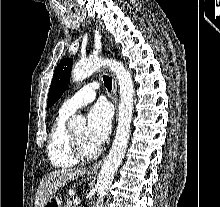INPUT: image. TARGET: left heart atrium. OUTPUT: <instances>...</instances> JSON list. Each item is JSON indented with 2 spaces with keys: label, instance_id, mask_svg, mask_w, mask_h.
I'll return each instance as SVG.
<instances>
[{
  "label": "left heart atrium",
  "instance_id": "39dd6f15",
  "mask_svg": "<svg viewBox=\"0 0 220 207\" xmlns=\"http://www.w3.org/2000/svg\"><path fill=\"white\" fill-rule=\"evenodd\" d=\"M111 121V109L105 102H98L90 109L87 115L85 136L96 148H99L108 138Z\"/></svg>",
  "mask_w": 220,
  "mask_h": 207
}]
</instances>
